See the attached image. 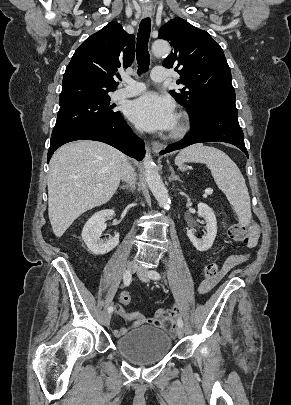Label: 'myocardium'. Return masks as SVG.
Masks as SVG:
<instances>
[{
    "mask_svg": "<svg viewBox=\"0 0 291 405\" xmlns=\"http://www.w3.org/2000/svg\"><path fill=\"white\" fill-rule=\"evenodd\" d=\"M190 118L186 112H179L176 117V124L171 132L172 138H182L190 130Z\"/></svg>",
    "mask_w": 291,
    "mask_h": 405,
    "instance_id": "1",
    "label": "myocardium"
}]
</instances>
